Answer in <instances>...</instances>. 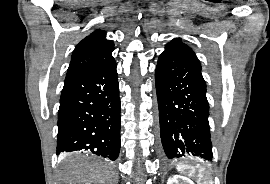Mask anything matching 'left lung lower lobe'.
I'll use <instances>...</instances> for the list:
<instances>
[{
  "label": "left lung lower lobe",
  "instance_id": "obj_1",
  "mask_svg": "<svg viewBox=\"0 0 270 184\" xmlns=\"http://www.w3.org/2000/svg\"><path fill=\"white\" fill-rule=\"evenodd\" d=\"M155 81L165 163L180 157L212 161L209 104L201 72L182 57L163 52Z\"/></svg>",
  "mask_w": 270,
  "mask_h": 184
}]
</instances>
